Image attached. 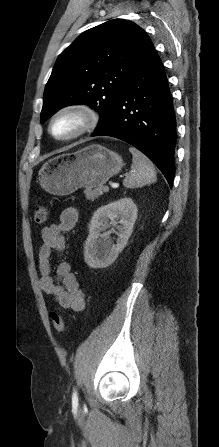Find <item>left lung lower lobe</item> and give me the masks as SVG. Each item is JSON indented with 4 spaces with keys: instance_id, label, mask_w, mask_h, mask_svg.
I'll return each mask as SVG.
<instances>
[{
    "instance_id": "0a47b994",
    "label": "left lung lower lobe",
    "mask_w": 219,
    "mask_h": 447,
    "mask_svg": "<svg viewBox=\"0 0 219 447\" xmlns=\"http://www.w3.org/2000/svg\"><path fill=\"white\" fill-rule=\"evenodd\" d=\"M112 136L143 152L174 179L176 119L164 66L152 44L134 67L107 118L92 136Z\"/></svg>"
}]
</instances>
